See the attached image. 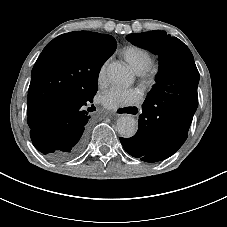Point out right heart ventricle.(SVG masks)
I'll use <instances>...</instances> for the list:
<instances>
[{"label": "right heart ventricle", "mask_w": 227, "mask_h": 227, "mask_svg": "<svg viewBox=\"0 0 227 227\" xmlns=\"http://www.w3.org/2000/svg\"><path fill=\"white\" fill-rule=\"evenodd\" d=\"M121 52L132 70L139 74L145 70L152 60L150 52L139 45H127Z\"/></svg>", "instance_id": "1"}]
</instances>
